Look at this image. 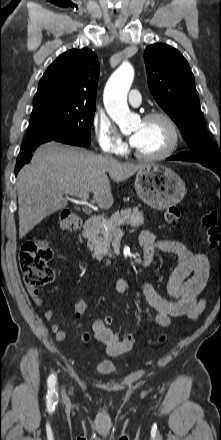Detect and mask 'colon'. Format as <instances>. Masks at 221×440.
<instances>
[{
	"label": "colon",
	"instance_id": "1",
	"mask_svg": "<svg viewBox=\"0 0 221 440\" xmlns=\"http://www.w3.org/2000/svg\"><path fill=\"white\" fill-rule=\"evenodd\" d=\"M181 217V211L177 207L166 209L163 215L164 221L169 225L177 224ZM58 223L62 231L72 232L81 226V219L73 212L64 211L60 214ZM202 224L207 229V244L209 248H221V224L220 227L217 226L216 217L213 214H207L203 217ZM52 256V249L44 240L32 238L23 243L19 252L18 262L28 286L37 288L52 281L54 271L49 266ZM86 310L87 303L84 300H79L75 304V314L77 317L82 316ZM103 322L109 329L115 326L112 315H105ZM83 338L88 340L89 335L84 334ZM164 340L165 336H161L158 342L163 343Z\"/></svg>",
	"mask_w": 221,
	"mask_h": 440
}]
</instances>
